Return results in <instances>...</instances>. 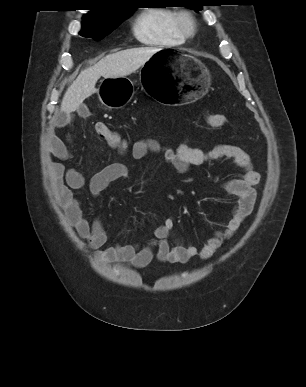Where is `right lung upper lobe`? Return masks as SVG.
<instances>
[{
	"label": "right lung upper lobe",
	"mask_w": 306,
	"mask_h": 387,
	"mask_svg": "<svg viewBox=\"0 0 306 387\" xmlns=\"http://www.w3.org/2000/svg\"><path fill=\"white\" fill-rule=\"evenodd\" d=\"M125 8H130V7H122V6H118V4L117 5L113 4L112 6H108V7L95 8L90 12H88L86 15H84L83 21H87V20L106 21L118 15Z\"/></svg>",
	"instance_id": "obj_1"
}]
</instances>
